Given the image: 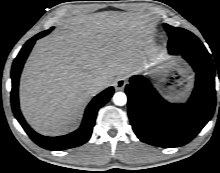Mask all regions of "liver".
Returning a JSON list of instances; mask_svg holds the SVG:
<instances>
[{"instance_id": "obj_1", "label": "liver", "mask_w": 220, "mask_h": 173, "mask_svg": "<svg viewBox=\"0 0 220 173\" xmlns=\"http://www.w3.org/2000/svg\"><path fill=\"white\" fill-rule=\"evenodd\" d=\"M147 15L94 13L81 16L35 44L20 79L21 110L44 134L66 132L81 111L115 76L131 75L141 40L150 32ZM106 85V86H107Z\"/></svg>"}]
</instances>
